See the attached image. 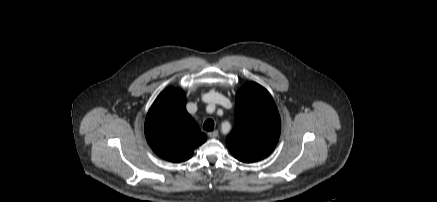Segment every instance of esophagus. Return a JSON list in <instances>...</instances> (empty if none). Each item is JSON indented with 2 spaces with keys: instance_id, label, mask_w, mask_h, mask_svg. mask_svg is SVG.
<instances>
[{
  "instance_id": "1",
  "label": "esophagus",
  "mask_w": 437,
  "mask_h": 202,
  "mask_svg": "<svg viewBox=\"0 0 437 202\" xmlns=\"http://www.w3.org/2000/svg\"><path fill=\"white\" fill-rule=\"evenodd\" d=\"M208 136L211 138H216L218 136V131L215 130V131L208 132Z\"/></svg>"
}]
</instances>
